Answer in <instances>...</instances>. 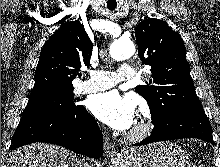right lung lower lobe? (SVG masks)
I'll use <instances>...</instances> for the list:
<instances>
[{"label": "right lung lower lobe", "instance_id": "right-lung-lower-lobe-1", "mask_svg": "<svg viewBox=\"0 0 220 167\" xmlns=\"http://www.w3.org/2000/svg\"><path fill=\"white\" fill-rule=\"evenodd\" d=\"M103 135L80 105L74 111L41 110L22 116L9 150L34 142L53 143L90 158L103 154Z\"/></svg>", "mask_w": 220, "mask_h": 167}]
</instances>
